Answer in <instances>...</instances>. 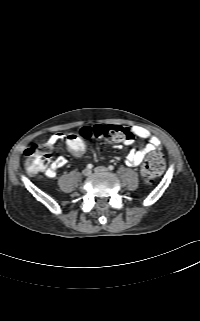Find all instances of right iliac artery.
<instances>
[{
  "label": "right iliac artery",
  "mask_w": 200,
  "mask_h": 321,
  "mask_svg": "<svg viewBox=\"0 0 200 321\" xmlns=\"http://www.w3.org/2000/svg\"><path fill=\"white\" fill-rule=\"evenodd\" d=\"M87 168H88V169H92V168H93V165H92V164H88V165H87Z\"/></svg>",
  "instance_id": "right-iliac-artery-1"
}]
</instances>
